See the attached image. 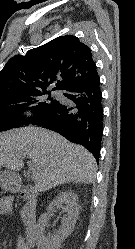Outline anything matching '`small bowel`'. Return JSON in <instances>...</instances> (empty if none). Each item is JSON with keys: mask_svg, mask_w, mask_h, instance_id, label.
Returning a JSON list of instances; mask_svg holds the SVG:
<instances>
[{"mask_svg": "<svg viewBox=\"0 0 135 249\" xmlns=\"http://www.w3.org/2000/svg\"><path fill=\"white\" fill-rule=\"evenodd\" d=\"M0 213H5L10 217H14V212L12 210V206L7 201L0 202ZM34 240V229H32L31 234L28 232L19 237L17 249H31L33 246Z\"/></svg>", "mask_w": 135, "mask_h": 249, "instance_id": "1", "label": "small bowel"}]
</instances>
